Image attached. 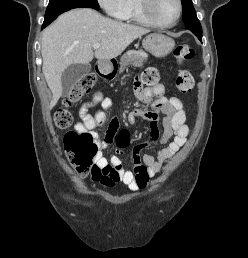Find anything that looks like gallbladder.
Segmentation results:
<instances>
[{
  "label": "gallbladder",
  "instance_id": "bac80fb5",
  "mask_svg": "<svg viewBox=\"0 0 248 258\" xmlns=\"http://www.w3.org/2000/svg\"><path fill=\"white\" fill-rule=\"evenodd\" d=\"M91 70L90 64H71L62 73V96L70 94L74 85Z\"/></svg>",
  "mask_w": 248,
  "mask_h": 258
}]
</instances>
